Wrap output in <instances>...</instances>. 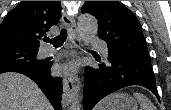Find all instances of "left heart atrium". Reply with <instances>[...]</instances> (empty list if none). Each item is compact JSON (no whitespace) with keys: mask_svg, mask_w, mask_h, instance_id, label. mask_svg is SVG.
<instances>
[{"mask_svg":"<svg viewBox=\"0 0 171 110\" xmlns=\"http://www.w3.org/2000/svg\"><path fill=\"white\" fill-rule=\"evenodd\" d=\"M75 70H76V65L72 63L59 66L57 68V72L59 74H65V75H72Z\"/></svg>","mask_w":171,"mask_h":110,"instance_id":"1","label":"left heart atrium"}]
</instances>
